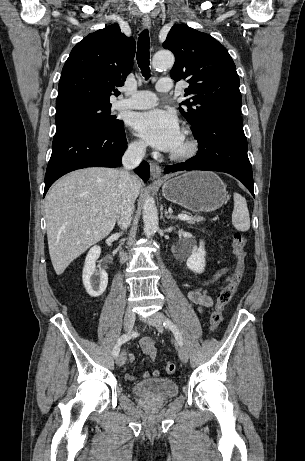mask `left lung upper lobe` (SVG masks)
<instances>
[{
    "label": "left lung upper lobe",
    "mask_w": 305,
    "mask_h": 461,
    "mask_svg": "<svg viewBox=\"0 0 305 461\" xmlns=\"http://www.w3.org/2000/svg\"><path fill=\"white\" fill-rule=\"evenodd\" d=\"M163 47L175 55L171 77L186 80L190 85L181 114L197 129L208 117L241 110L239 76L227 49L216 39L184 25H175Z\"/></svg>",
    "instance_id": "obj_1"
}]
</instances>
